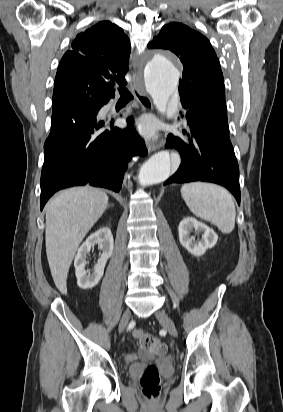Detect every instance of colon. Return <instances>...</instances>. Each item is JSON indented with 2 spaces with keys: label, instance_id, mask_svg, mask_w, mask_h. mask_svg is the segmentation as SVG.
Segmentation results:
<instances>
[{
  "label": "colon",
  "instance_id": "1",
  "mask_svg": "<svg viewBox=\"0 0 283 412\" xmlns=\"http://www.w3.org/2000/svg\"><path fill=\"white\" fill-rule=\"evenodd\" d=\"M140 346L146 352L153 355H162L166 351V345L151 334H142ZM140 386L143 395L149 401H155L160 392V376L157 368L153 365L148 366L140 379Z\"/></svg>",
  "mask_w": 283,
  "mask_h": 412
}]
</instances>
